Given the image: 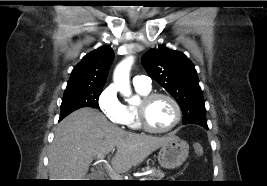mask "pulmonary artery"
<instances>
[{
    "mask_svg": "<svg viewBox=\"0 0 267 186\" xmlns=\"http://www.w3.org/2000/svg\"><path fill=\"white\" fill-rule=\"evenodd\" d=\"M133 84L135 87L150 89L151 88V79L145 75H137L133 78Z\"/></svg>",
    "mask_w": 267,
    "mask_h": 186,
    "instance_id": "pulmonary-artery-1",
    "label": "pulmonary artery"
}]
</instances>
